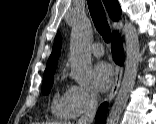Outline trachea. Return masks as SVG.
Instances as JSON below:
<instances>
[{"instance_id": "obj_1", "label": "trachea", "mask_w": 156, "mask_h": 124, "mask_svg": "<svg viewBox=\"0 0 156 124\" xmlns=\"http://www.w3.org/2000/svg\"><path fill=\"white\" fill-rule=\"evenodd\" d=\"M88 7L96 30L106 43L111 41V30L100 0H88Z\"/></svg>"}]
</instances>
